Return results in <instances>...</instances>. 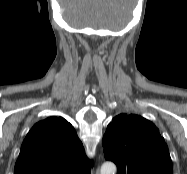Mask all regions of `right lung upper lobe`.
<instances>
[{"instance_id":"cb5924a9","label":"right lung upper lobe","mask_w":187,"mask_h":174,"mask_svg":"<svg viewBox=\"0 0 187 174\" xmlns=\"http://www.w3.org/2000/svg\"><path fill=\"white\" fill-rule=\"evenodd\" d=\"M92 162L62 117L36 123L22 143L14 174H90Z\"/></svg>"}]
</instances>
